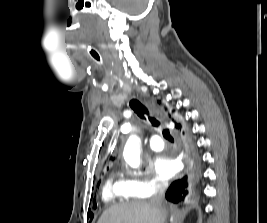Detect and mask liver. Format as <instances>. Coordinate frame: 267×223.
<instances>
[{
    "mask_svg": "<svg viewBox=\"0 0 267 223\" xmlns=\"http://www.w3.org/2000/svg\"><path fill=\"white\" fill-rule=\"evenodd\" d=\"M166 210L151 202L132 201L113 205L103 212L97 223H163Z\"/></svg>",
    "mask_w": 267,
    "mask_h": 223,
    "instance_id": "obj_1",
    "label": "liver"
}]
</instances>
